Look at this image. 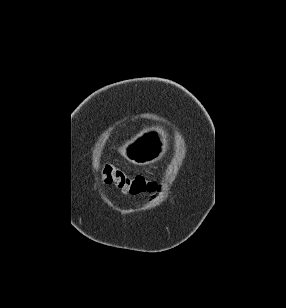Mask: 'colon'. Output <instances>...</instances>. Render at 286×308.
Segmentation results:
<instances>
[{"label": "colon", "mask_w": 286, "mask_h": 308, "mask_svg": "<svg viewBox=\"0 0 286 308\" xmlns=\"http://www.w3.org/2000/svg\"><path fill=\"white\" fill-rule=\"evenodd\" d=\"M101 179L105 184L114 185L125 194L139 196L157 190L156 182L145 180L143 177H131L120 168L105 165L101 171Z\"/></svg>", "instance_id": "colon-1"}]
</instances>
